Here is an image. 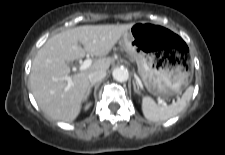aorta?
<instances>
[{"mask_svg":"<svg viewBox=\"0 0 225 155\" xmlns=\"http://www.w3.org/2000/svg\"><path fill=\"white\" fill-rule=\"evenodd\" d=\"M112 76L118 82H125L129 78V73L124 67H116L112 72Z\"/></svg>","mask_w":225,"mask_h":155,"instance_id":"762f6f07","label":"aorta"}]
</instances>
